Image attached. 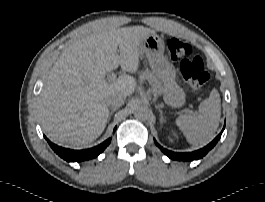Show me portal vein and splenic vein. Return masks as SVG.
<instances>
[{
  "mask_svg": "<svg viewBox=\"0 0 265 202\" xmlns=\"http://www.w3.org/2000/svg\"><path fill=\"white\" fill-rule=\"evenodd\" d=\"M116 77H117V75L112 73V74L107 76V80H108V82H112L116 79Z\"/></svg>",
  "mask_w": 265,
  "mask_h": 202,
  "instance_id": "1",
  "label": "portal vein and splenic vein"
}]
</instances>
